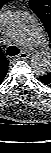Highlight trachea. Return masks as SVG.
<instances>
[{"mask_svg": "<svg viewBox=\"0 0 51 153\" xmlns=\"http://www.w3.org/2000/svg\"><path fill=\"white\" fill-rule=\"evenodd\" d=\"M6 52L9 56H16L20 53V50L16 46H9Z\"/></svg>", "mask_w": 51, "mask_h": 153, "instance_id": "3493384b", "label": "trachea"}]
</instances>
